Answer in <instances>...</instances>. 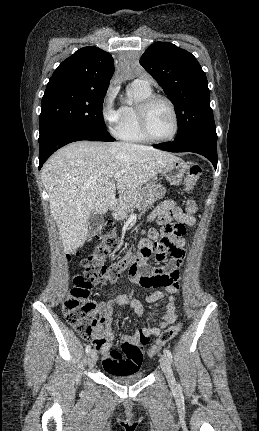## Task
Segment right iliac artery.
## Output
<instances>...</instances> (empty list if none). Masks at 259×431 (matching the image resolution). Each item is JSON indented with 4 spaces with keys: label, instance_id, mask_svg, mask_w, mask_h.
Returning a JSON list of instances; mask_svg holds the SVG:
<instances>
[{
    "label": "right iliac artery",
    "instance_id": "right-iliac-artery-1",
    "mask_svg": "<svg viewBox=\"0 0 259 431\" xmlns=\"http://www.w3.org/2000/svg\"><path fill=\"white\" fill-rule=\"evenodd\" d=\"M90 350H91V346H90V345H87V346H86V353H89V352H90Z\"/></svg>",
    "mask_w": 259,
    "mask_h": 431
}]
</instances>
